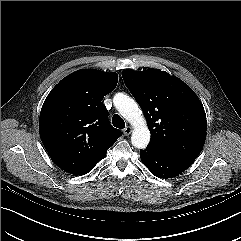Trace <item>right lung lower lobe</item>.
<instances>
[{
    "label": "right lung lower lobe",
    "instance_id": "obj_1",
    "mask_svg": "<svg viewBox=\"0 0 241 241\" xmlns=\"http://www.w3.org/2000/svg\"><path fill=\"white\" fill-rule=\"evenodd\" d=\"M96 164H97V163H96ZM96 164H93V165L89 166L88 168L79 171L78 173H76V175H85V174H87L88 172L91 171V169H92Z\"/></svg>",
    "mask_w": 241,
    "mask_h": 241
}]
</instances>
